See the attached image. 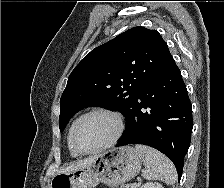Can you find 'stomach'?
Listing matches in <instances>:
<instances>
[{
    "instance_id": "0dacf381",
    "label": "stomach",
    "mask_w": 224,
    "mask_h": 188,
    "mask_svg": "<svg viewBox=\"0 0 224 188\" xmlns=\"http://www.w3.org/2000/svg\"><path fill=\"white\" fill-rule=\"evenodd\" d=\"M141 164L142 157L133 147L112 148L85 167L58 173L50 188H94L99 183L117 186L135 177Z\"/></svg>"
}]
</instances>
